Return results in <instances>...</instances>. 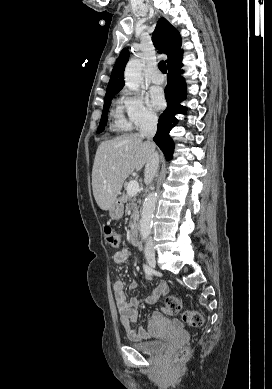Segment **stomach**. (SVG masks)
<instances>
[{
  "label": "stomach",
  "mask_w": 272,
  "mask_h": 389,
  "mask_svg": "<svg viewBox=\"0 0 272 389\" xmlns=\"http://www.w3.org/2000/svg\"><path fill=\"white\" fill-rule=\"evenodd\" d=\"M124 213V202L121 198L115 200L109 209V215L112 219L118 220L123 216Z\"/></svg>",
  "instance_id": "1"
}]
</instances>
